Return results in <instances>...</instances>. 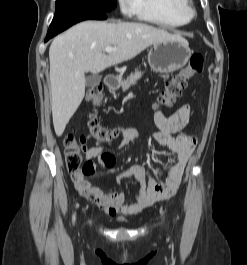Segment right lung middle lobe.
I'll return each instance as SVG.
<instances>
[{
    "mask_svg": "<svg viewBox=\"0 0 247 265\" xmlns=\"http://www.w3.org/2000/svg\"><path fill=\"white\" fill-rule=\"evenodd\" d=\"M116 7V0H56L55 15L74 11L109 12Z\"/></svg>",
    "mask_w": 247,
    "mask_h": 265,
    "instance_id": "1",
    "label": "right lung middle lobe"
}]
</instances>
